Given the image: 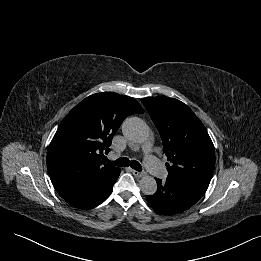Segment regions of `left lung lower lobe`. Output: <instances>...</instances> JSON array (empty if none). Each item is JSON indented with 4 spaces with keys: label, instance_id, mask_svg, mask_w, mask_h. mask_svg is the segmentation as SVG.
Instances as JSON below:
<instances>
[{
    "label": "left lung lower lobe",
    "instance_id": "left-lung-lower-lobe-1",
    "mask_svg": "<svg viewBox=\"0 0 261 261\" xmlns=\"http://www.w3.org/2000/svg\"><path fill=\"white\" fill-rule=\"evenodd\" d=\"M158 189L146 199L152 208L161 214L181 213L192 207L206 192L195 185L156 178Z\"/></svg>",
    "mask_w": 261,
    "mask_h": 261
}]
</instances>
